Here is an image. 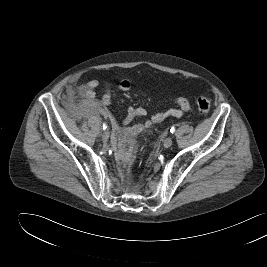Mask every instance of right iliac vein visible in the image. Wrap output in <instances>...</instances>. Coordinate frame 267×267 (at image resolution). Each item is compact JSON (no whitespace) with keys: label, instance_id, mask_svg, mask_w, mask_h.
I'll return each instance as SVG.
<instances>
[{"label":"right iliac vein","instance_id":"1","mask_svg":"<svg viewBox=\"0 0 267 267\" xmlns=\"http://www.w3.org/2000/svg\"><path fill=\"white\" fill-rule=\"evenodd\" d=\"M108 139H109V132H108V130H105V131L102 133V140H103L104 142H107Z\"/></svg>","mask_w":267,"mask_h":267}]
</instances>
